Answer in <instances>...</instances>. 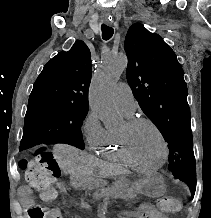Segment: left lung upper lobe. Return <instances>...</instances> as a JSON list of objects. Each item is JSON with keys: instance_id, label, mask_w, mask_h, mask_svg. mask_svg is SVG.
Masks as SVG:
<instances>
[{"instance_id": "1", "label": "left lung upper lobe", "mask_w": 211, "mask_h": 218, "mask_svg": "<svg viewBox=\"0 0 211 218\" xmlns=\"http://www.w3.org/2000/svg\"><path fill=\"white\" fill-rule=\"evenodd\" d=\"M124 49L126 77L134 97L168 143V169L194 193L196 163L188 91L176 54L162 37L140 23L129 28Z\"/></svg>"}]
</instances>
